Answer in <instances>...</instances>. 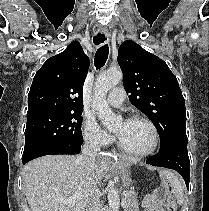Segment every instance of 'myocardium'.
I'll return each mask as SVG.
<instances>
[{"instance_id":"myocardium-1","label":"myocardium","mask_w":209,"mask_h":211,"mask_svg":"<svg viewBox=\"0 0 209 211\" xmlns=\"http://www.w3.org/2000/svg\"><path fill=\"white\" fill-rule=\"evenodd\" d=\"M130 121H138V122H142V123L146 124L152 133V143L148 149H146L144 151H140V152H134V151L126 149L120 143V141L117 140L118 149L121 152H123L124 154L134 157V158H144V157L152 155L157 150V148L159 146V141H160V136H159V132H158L156 125L154 124V122L152 120H150L149 118H147L145 116H141V115L133 116L130 119Z\"/></svg>"}]
</instances>
